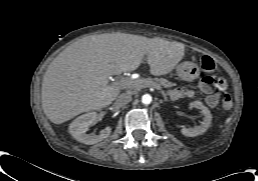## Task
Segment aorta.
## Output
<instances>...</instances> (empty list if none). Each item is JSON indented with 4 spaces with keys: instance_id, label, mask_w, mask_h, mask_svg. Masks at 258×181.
<instances>
[{
    "instance_id": "obj_1",
    "label": "aorta",
    "mask_w": 258,
    "mask_h": 181,
    "mask_svg": "<svg viewBox=\"0 0 258 181\" xmlns=\"http://www.w3.org/2000/svg\"><path fill=\"white\" fill-rule=\"evenodd\" d=\"M151 102H152V96H151V95H149V94H144V95L142 96V103H143V104L148 105V104H150Z\"/></svg>"
}]
</instances>
